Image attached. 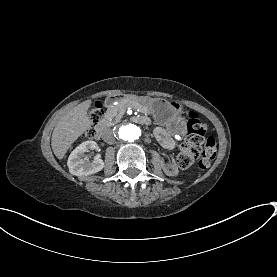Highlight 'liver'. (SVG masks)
Wrapping results in <instances>:
<instances>
[{"label":"liver","instance_id":"liver-1","mask_svg":"<svg viewBox=\"0 0 277 277\" xmlns=\"http://www.w3.org/2000/svg\"><path fill=\"white\" fill-rule=\"evenodd\" d=\"M91 100H86L70 109L57 122L51 137V147L55 157L62 160L69 147L86 132L91 121L87 110Z\"/></svg>","mask_w":277,"mask_h":277}]
</instances>
